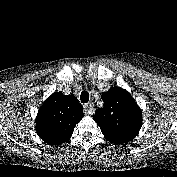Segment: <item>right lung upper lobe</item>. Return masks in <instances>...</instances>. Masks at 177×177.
I'll use <instances>...</instances> for the list:
<instances>
[{"mask_svg":"<svg viewBox=\"0 0 177 177\" xmlns=\"http://www.w3.org/2000/svg\"><path fill=\"white\" fill-rule=\"evenodd\" d=\"M83 118V107L74 96L55 92L39 108L36 131L50 145H61L73 134Z\"/></svg>","mask_w":177,"mask_h":177,"instance_id":"cb5924a9","label":"right lung upper lobe"}]
</instances>
